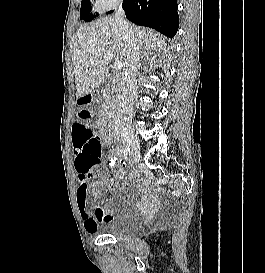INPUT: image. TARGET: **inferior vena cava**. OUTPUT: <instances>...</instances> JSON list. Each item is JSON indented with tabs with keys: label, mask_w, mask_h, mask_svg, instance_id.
<instances>
[{
	"label": "inferior vena cava",
	"mask_w": 265,
	"mask_h": 273,
	"mask_svg": "<svg viewBox=\"0 0 265 273\" xmlns=\"http://www.w3.org/2000/svg\"><path fill=\"white\" fill-rule=\"evenodd\" d=\"M124 10L118 9L115 21L126 45V61L121 74L117 115L114 120L116 135L132 134L131 121L135 95V77L140 59V46L133 27L125 20Z\"/></svg>",
	"instance_id": "1"
}]
</instances>
